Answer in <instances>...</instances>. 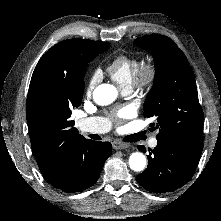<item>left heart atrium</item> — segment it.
Segmentation results:
<instances>
[{"mask_svg":"<svg viewBox=\"0 0 221 221\" xmlns=\"http://www.w3.org/2000/svg\"><path fill=\"white\" fill-rule=\"evenodd\" d=\"M129 115L128 108H122L116 112V116L120 119L126 118Z\"/></svg>","mask_w":221,"mask_h":221,"instance_id":"left-heart-atrium-1","label":"left heart atrium"}]
</instances>
